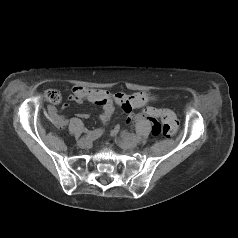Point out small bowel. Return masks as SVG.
Instances as JSON below:
<instances>
[{"label":"small bowel","instance_id":"c3829d8e","mask_svg":"<svg viewBox=\"0 0 238 238\" xmlns=\"http://www.w3.org/2000/svg\"><path fill=\"white\" fill-rule=\"evenodd\" d=\"M69 99L76 103L88 101L100 105L102 107L100 119L102 123L106 125L113 114L114 101L128 114L127 120L130 119V121L127 123H131L136 119V117L132 114V110L145 106L153 99V97L143 92H136L131 95L117 93L113 97L112 94L106 90L74 86ZM49 113L53 123L58 128H64L67 125L68 120L64 116L60 115L56 108L50 107ZM78 116L81 118H88V114L86 113L78 114ZM118 130L119 127L116 126L113 129L112 134H116Z\"/></svg>","mask_w":238,"mask_h":238}]
</instances>
